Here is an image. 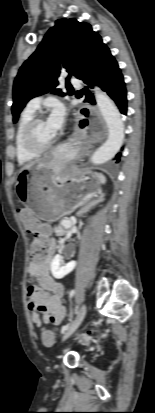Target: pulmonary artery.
I'll use <instances>...</instances> for the list:
<instances>
[{"mask_svg": "<svg viewBox=\"0 0 155 413\" xmlns=\"http://www.w3.org/2000/svg\"><path fill=\"white\" fill-rule=\"evenodd\" d=\"M69 81L73 85H76V86L79 85V82H78L77 78H75V77H70ZM41 102H42V97H35V98L31 99L28 102L27 108L30 109V110L36 111L40 107Z\"/></svg>", "mask_w": 155, "mask_h": 413, "instance_id": "pulmonary-artery-1", "label": "pulmonary artery"}]
</instances>
